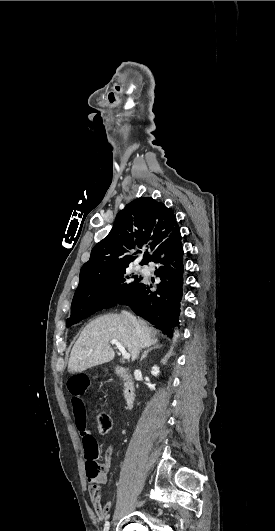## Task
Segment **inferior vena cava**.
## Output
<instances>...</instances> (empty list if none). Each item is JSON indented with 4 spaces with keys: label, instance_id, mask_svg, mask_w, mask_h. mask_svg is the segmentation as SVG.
Returning <instances> with one entry per match:
<instances>
[{
    "label": "inferior vena cava",
    "instance_id": "602c4592",
    "mask_svg": "<svg viewBox=\"0 0 275 531\" xmlns=\"http://www.w3.org/2000/svg\"><path fill=\"white\" fill-rule=\"evenodd\" d=\"M123 315H126V317H128L130 323H132V325H134L135 329H136V333H140V327H139V323L137 321V319H135V317H133V315H130V313H123Z\"/></svg>",
    "mask_w": 275,
    "mask_h": 531
}]
</instances>
